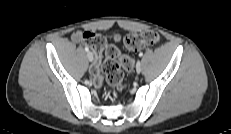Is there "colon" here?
I'll return each mask as SVG.
<instances>
[{"mask_svg": "<svg viewBox=\"0 0 231 134\" xmlns=\"http://www.w3.org/2000/svg\"><path fill=\"white\" fill-rule=\"evenodd\" d=\"M80 41L87 44L96 53V60L90 68V74L97 87H101L104 80L115 88L122 87L123 69L130 72L133 59L129 55H122L117 47L111 46L105 50V59L101 63V54L105 49L104 38L94 32L80 33ZM160 36L157 32L148 30L141 33H130L125 39V46L129 51H138L147 46L157 45Z\"/></svg>", "mask_w": 231, "mask_h": 134, "instance_id": "1", "label": "colon"}]
</instances>
